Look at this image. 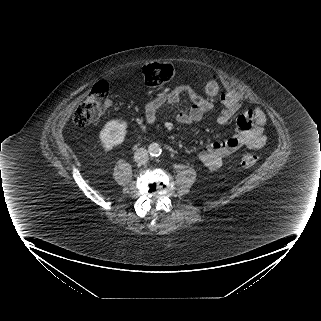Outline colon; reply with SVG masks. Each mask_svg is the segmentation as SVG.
<instances>
[{"label": "colon", "mask_w": 321, "mask_h": 321, "mask_svg": "<svg viewBox=\"0 0 321 321\" xmlns=\"http://www.w3.org/2000/svg\"><path fill=\"white\" fill-rule=\"evenodd\" d=\"M143 77L150 86H158L170 81L175 73L170 63H152L143 68ZM109 87L106 82H97L87 97L76 108L73 121L78 127H85L97 120L103 114ZM204 91L209 96H216L220 92L219 78L215 74L209 75ZM258 162V157L252 153H244L240 159L243 168H252Z\"/></svg>", "instance_id": "5ec220e1"}]
</instances>
